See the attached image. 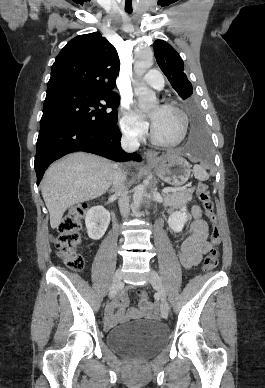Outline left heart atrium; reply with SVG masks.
<instances>
[{
  "label": "left heart atrium",
  "instance_id": "left-heart-atrium-1",
  "mask_svg": "<svg viewBox=\"0 0 265 388\" xmlns=\"http://www.w3.org/2000/svg\"><path fill=\"white\" fill-rule=\"evenodd\" d=\"M151 117H152V119H153V120H154V122H155V121H156V119H157V114H155V113H154V114H152V116H151Z\"/></svg>",
  "mask_w": 265,
  "mask_h": 388
}]
</instances>
